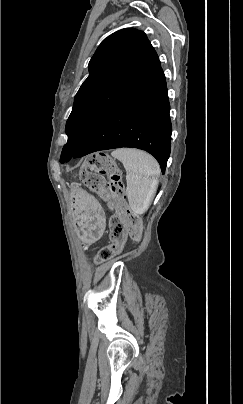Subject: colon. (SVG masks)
I'll list each match as a JSON object with an SVG mask.
<instances>
[{"label":"colon","mask_w":243,"mask_h":404,"mask_svg":"<svg viewBox=\"0 0 243 404\" xmlns=\"http://www.w3.org/2000/svg\"><path fill=\"white\" fill-rule=\"evenodd\" d=\"M104 174L108 176V182ZM80 179L90 191L100 195L117 212L109 222L111 244L103 247L96 257V261L102 263L117 255L128 237L140 239L142 221L127 205L120 172L107 155L100 153L91 156L81 170Z\"/></svg>","instance_id":"obj_1"}]
</instances>
